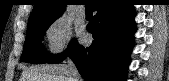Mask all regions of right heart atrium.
Segmentation results:
<instances>
[{
  "label": "right heart atrium",
  "instance_id": "d8ad5b80",
  "mask_svg": "<svg viewBox=\"0 0 169 81\" xmlns=\"http://www.w3.org/2000/svg\"><path fill=\"white\" fill-rule=\"evenodd\" d=\"M48 49L58 55L68 50L71 41V27L64 17L52 19L46 27Z\"/></svg>",
  "mask_w": 169,
  "mask_h": 81
}]
</instances>
